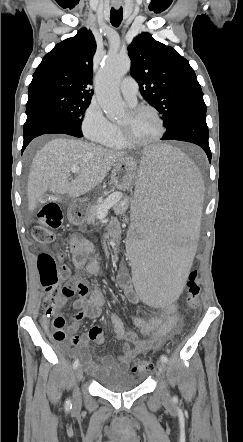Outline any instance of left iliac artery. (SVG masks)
Masks as SVG:
<instances>
[{
	"label": "left iliac artery",
	"mask_w": 243,
	"mask_h": 442,
	"mask_svg": "<svg viewBox=\"0 0 243 442\" xmlns=\"http://www.w3.org/2000/svg\"><path fill=\"white\" fill-rule=\"evenodd\" d=\"M161 360H162L164 363H167L168 358H167L166 355L162 354V355H161Z\"/></svg>",
	"instance_id": "obj_1"
}]
</instances>
